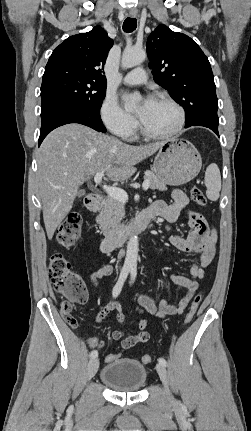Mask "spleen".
<instances>
[{
    "instance_id": "1",
    "label": "spleen",
    "mask_w": 251,
    "mask_h": 431,
    "mask_svg": "<svg viewBox=\"0 0 251 431\" xmlns=\"http://www.w3.org/2000/svg\"><path fill=\"white\" fill-rule=\"evenodd\" d=\"M206 195L208 199L216 201L221 190V175L217 164H210L205 172Z\"/></svg>"
}]
</instances>
